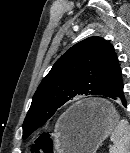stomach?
I'll return each mask as SVG.
<instances>
[{"label":"stomach","mask_w":130,"mask_h":153,"mask_svg":"<svg viewBox=\"0 0 130 153\" xmlns=\"http://www.w3.org/2000/svg\"><path fill=\"white\" fill-rule=\"evenodd\" d=\"M118 121L114 107L103 99L79 102L66 111L56 125L57 150L59 153H96Z\"/></svg>","instance_id":"1"}]
</instances>
